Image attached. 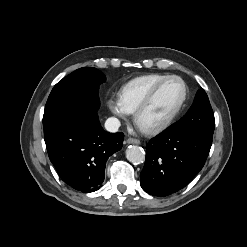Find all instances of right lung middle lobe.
<instances>
[{"label": "right lung middle lobe", "instance_id": "right-lung-middle-lobe-1", "mask_svg": "<svg viewBox=\"0 0 247 247\" xmlns=\"http://www.w3.org/2000/svg\"><path fill=\"white\" fill-rule=\"evenodd\" d=\"M106 81L105 75L92 67H83L60 80L47 100L43 127L82 114L97 112L100 106L99 85Z\"/></svg>", "mask_w": 247, "mask_h": 247}]
</instances>
